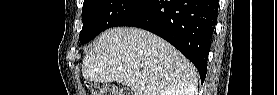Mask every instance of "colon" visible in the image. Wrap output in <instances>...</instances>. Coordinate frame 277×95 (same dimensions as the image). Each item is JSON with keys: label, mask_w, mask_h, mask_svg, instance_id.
Wrapping results in <instances>:
<instances>
[{"label": "colon", "mask_w": 277, "mask_h": 95, "mask_svg": "<svg viewBox=\"0 0 277 95\" xmlns=\"http://www.w3.org/2000/svg\"><path fill=\"white\" fill-rule=\"evenodd\" d=\"M91 95H130L131 90L128 87L117 88L108 86L105 83H93L89 85Z\"/></svg>", "instance_id": "colon-1"}]
</instances>
